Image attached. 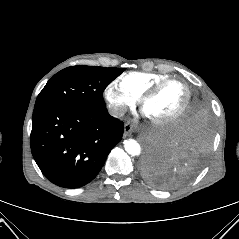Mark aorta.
<instances>
[{
	"label": "aorta",
	"instance_id": "1",
	"mask_svg": "<svg viewBox=\"0 0 239 239\" xmlns=\"http://www.w3.org/2000/svg\"><path fill=\"white\" fill-rule=\"evenodd\" d=\"M125 151L131 156H139L141 154L140 144L134 139H128L124 142Z\"/></svg>",
	"mask_w": 239,
	"mask_h": 239
}]
</instances>
